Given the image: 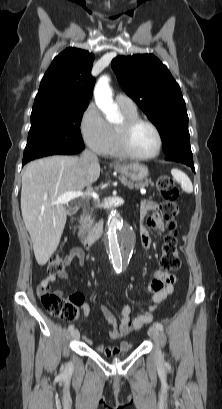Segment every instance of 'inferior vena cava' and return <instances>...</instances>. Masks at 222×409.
I'll list each match as a JSON object with an SVG mask.
<instances>
[{"instance_id": "1", "label": "inferior vena cava", "mask_w": 222, "mask_h": 409, "mask_svg": "<svg viewBox=\"0 0 222 409\" xmlns=\"http://www.w3.org/2000/svg\"><path fill=\"white\" fill-rule=\"evenodd\" d=\"M81 160L84 165H89L91 163H97L98 157L89 149H85L82 153Z\"/></svg>"}]
</instances>
